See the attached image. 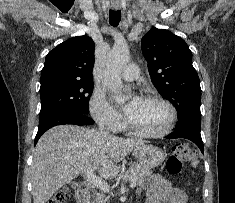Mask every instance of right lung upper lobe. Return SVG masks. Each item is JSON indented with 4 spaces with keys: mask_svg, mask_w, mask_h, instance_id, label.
<instances>
[{
    "mask_svg": "<svg viewBox=\"0 0 235 203\" xmlns=\"http://www.w3.org/2000/svg\"><path fill=\"white\" fill-rule=\"evenodd\" d=\"M95 43L88 36L73 37L51 50L41 71V86L58 81H93Z\"/></svg>",
    "mask_w": 235,
    "mask_h": 203,
    "instance_id": "obj_1",
    "label": "right lung upper lobe"
}]
</instances>
